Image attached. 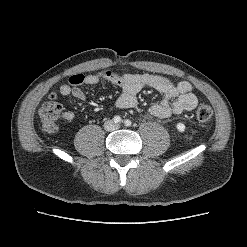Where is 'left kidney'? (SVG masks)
Returning a JSON list of instances; mask_svg holds the SVG:
<instances>
[{"instance_id":"1","label":"left kidney","mask_w":247,"mask_h":247,"mask_svg":"<svg viewBox=\"0 0 247 247\" xmlns=\"http://www.w3.org/2000/svg\"><path fill=\"white\" fill-rule=\"evenodd\" d=\"M176 128H177V130L179 132H184L185 129H186L185 125L183 123H181V122H179V123L176 124Z\"/></svg>"}]
</instances>
